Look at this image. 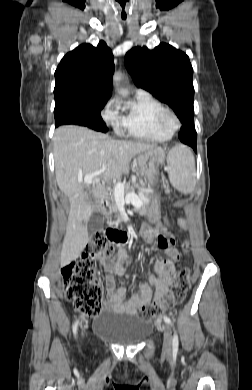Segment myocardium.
I'll return each instance as SVG.
<instances>
[{
    "mask_svg": "<svg viewBox=\"0 0 252 390\" xmlns=\"http://www.w3.org/2000/svg\"><path fill=\"white\" fill-rule=\"evenodd\" d=\"M169 117H171L174 121L172 126H168L167 124V118ZM156 120L161 129L171 133H174L181 126V121L177 113L168 107H163L158 111Z\"/></svg>",
    "mask_w": 252,
    "mask_h": 390,
    "instance_id": "obj_1",
    "label": "myocardium"
}]
</instances>
